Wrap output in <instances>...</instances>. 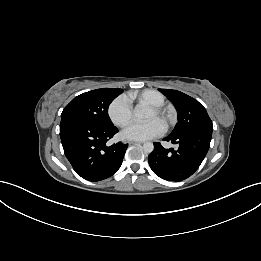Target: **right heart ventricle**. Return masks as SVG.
I'll use <instances>...</instances> for the list:
<instances>
[{"instance_id":"e07e8e85","label":"right heart ventricle","mask_w":261,"mask_h":261,"mask_svg":"<svg viewBox=\"0 0 261 261\" xmlns=\"http://www.w3.org/2000/svg\"><path fill=\"white\" fill-rule=\"evenodd\" d=\"M129 99L144 102L150 106H162L165 103L164 95L151 89L144 90L140 93H131Z\"/></svg>"}]
</instances>
